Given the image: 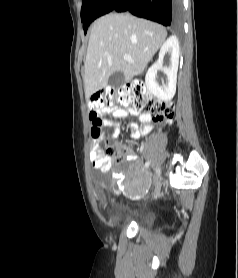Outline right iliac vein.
Returning a JSON list of instances; mask_svg holds the SVG:
<instances>
[{
	"label": "right iliac vein",
	"mask_w": 238,
	"mask_h": 278,
	"mask_svg": "<svg viewBox=\"0 0 238 278\" xmlns=\"http://www.w3.org/2000/svg\"><path fill=\"white\" fill-rule=\"evenodd\" d=\"M154 174H162L161 166H158V168H155ZM154 178H157V175H154Z\"/></svg>",
	"instance_id": "right-iliac-vein-1"
}]
</instances>
